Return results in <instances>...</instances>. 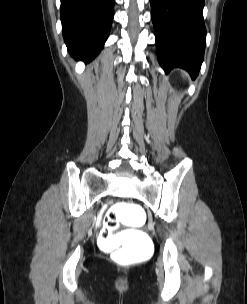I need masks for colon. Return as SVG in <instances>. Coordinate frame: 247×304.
I'll return each mask as SVG.
<instances>
[{"instance_id":"5ec220e1","label":"colon","mask_w":247,"mask_h":304,"mask_svg":"<svg viewBox=\"0 0 247 304\" xmlns=\"http://www.w3.org/2000/svg\"><path fill=\"white\" fill-rule=\"evenodd\" d=\"M105 217L96 237L100 253H114L119 261L153 258L155 241L145 229H137V225H148V214L141 202H115L105 210ZM120 225H124L123 231L115 235Z\"/></svg>"}]
</instances>
